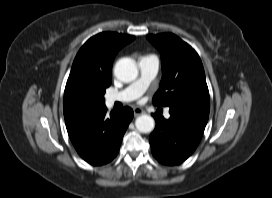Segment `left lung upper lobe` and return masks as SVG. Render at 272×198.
<instances>
[{
    "mask_svg": "<svg viewBox=\"0 0 272 198\" xmlns=\"http://www.w3.org/2000/svg\"><path fill=\"white\" fill-rule=\"evenodd\" d=\"M146 38L159 50L162 61V79L153 103L209 113V91L196 51L172 33L147 35Z\"/></svg>",
    "mask_w": 272,
    "mask_h": 198,
    "instance_id": "1",
    "label": "left lung upper lobe"
}]
</instances>
